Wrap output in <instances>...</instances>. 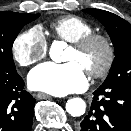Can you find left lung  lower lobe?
Here are the masks:
<instances>
[{
	"mask_svg": "<svg viewBox=\"0 0 131 131\" xmlns=\"http://www.w3.org/2000/svg\"><path fill=\"white\" fill-rule=\"evenodd\" d=\"M79 131H131V87L101 85Z\"/></svg>",
	"mask_w": 131,
	"mask_h": 131,
	"instance_id": "left-lung-lower-lobe-1",
	"label": "left lung lower lobe"
}]
</instances>
